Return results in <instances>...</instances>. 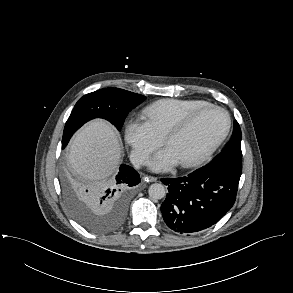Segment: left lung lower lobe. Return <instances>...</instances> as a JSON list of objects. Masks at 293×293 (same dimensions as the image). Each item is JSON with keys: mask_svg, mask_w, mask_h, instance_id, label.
Segmentation results:
<instances>
[{"mask_svg": "<svg viewBox=\"0 0 293 293\" xmlns=\"http://www.w3.org/2000/svg\"><path fill=\"white\" fill-rule=\"evenodd\" d=\"M240 176L205 165L185 177L161 179L169 191L161 205L165 223L180 234L209 228L233 206Z\"/></svg>", "mask_w": 293, "mask_h": 293, "instance_id": "left-lung-lower-lobe-1", "label": "left lung lower lobe"}]
</instances>
